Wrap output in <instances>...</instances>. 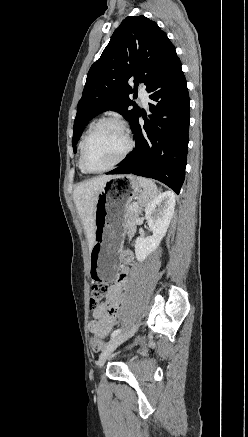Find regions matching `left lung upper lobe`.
Segmentation results:
<instances>
[{"instance_id": "obj_1", "label": "left lung upper lobe", "mask_w": 248, "mask_h": 437, "mask_svg": "<svg viewBox=\"0 0 248 437\" xmlns=\"http://www.w3.org/2000/svg\"><path fill=\"white\" fill-rule=\"evenodd\" d=\"M176 58L174 45L154 21L143 15L126 17L88 72L74 121V152L86 124L101 112L117 111L132 126L140 108L130 95L140 82L148 90Z\"/></svg>"}]
</instances>
